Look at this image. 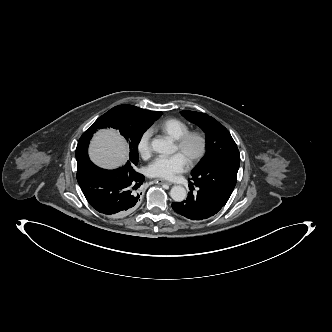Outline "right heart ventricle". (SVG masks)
<instances>
[{
	"mask_svg": "<svg viewBox=\"0 0 332 332\" xmlns=\"http://www.w3.org/2000/svg\"><path fill=\"white\" fill-rule=\"evenodd\" d=\"M154 129L160 130L173 140H177L189 130V126L178 118H169L160 122Z\"/></svg>",
	"mask_w": 332,
	"mask_h": 332,
	"instance_id": "1",
	"label": "right heart ventricle"
}]
</instances>
